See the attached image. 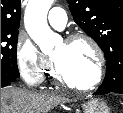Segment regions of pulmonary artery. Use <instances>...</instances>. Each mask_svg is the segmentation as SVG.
I'll return each mask as SVG.
<instances>
[{"label": "pulmonary artery", "mask_w": 123, "mask_h": 113, "mask_svg": "<svg viewBox=\"0 0 123 113\" xmlns=\"http://www.w3.org/2000/svg\"><path fill=\"white\" fill-rule=\"evenodd\" d=\"M49 24L56 29H63L67 23L66 12L60 7H53L48 13Z\"/></svg>", "instance_id": "e3ab8cb5"}]
</instances>
